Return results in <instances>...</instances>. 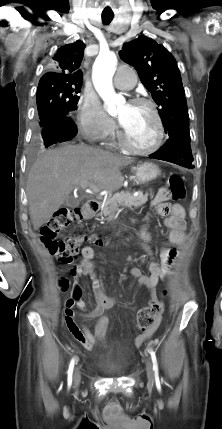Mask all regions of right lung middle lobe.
Returning <instances> with one entry per match:
<instances>
[{
    "label": "right lung middle lobe",
    "mask_w": 222,
    "mask_h": 429,
    "mask_svg": "<svg viewBox=\"0 0 222 429\" xmlns=\"http://www.w3.org/2000/svg\"><path fill=\"white\" fill-rule=\"evenodd\" d=\"M82 82L40 81L36 93L39 125L44 127L51 120L70 116L77 109Z\"/></svg>",
    "instance_id": "1"
}]
</instances>
